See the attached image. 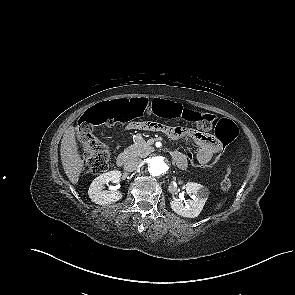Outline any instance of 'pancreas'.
<instances>
[{
    "mask_svg": "<svg viewBox=\"0 0 295 295\" xmlns=\"http://www.w3.org/2000/svg\"><path fill=\"white\" fill-rule=\"evenodd\" d=\"M154 148L150 146L142 137H138L136 142L124 150V154L128 157H147Z\"/></svg>",
    "mask_w": 295,
    "mask_h": 295,
    "instance_id": "cf45deb5",
    "label": "pancreas"
}]
</instances>
